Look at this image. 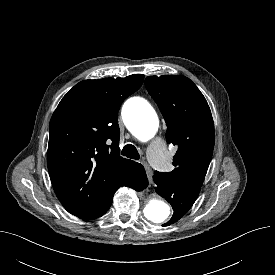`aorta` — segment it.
<instances>
[{
    "mask_svg": "<svg viewBox=\"0 0 275 275\" xmlns=\"http://www.w3.org/2000/svg\"><path fill=\"white\" fill-rule=\"evenodd\" d=\"M122 117L130 132L140 141H148L158 131L159 118L151 104L143 98L127 100ZM145 218L156 226L164 225L171 216V207L160 199H150L144 207Z\"/></svg>",
    "mask_w": 275,
    "mask_h": 275,
    "instance_id": "762f6f07",
    "label": "aorta"
}]
</instances>
